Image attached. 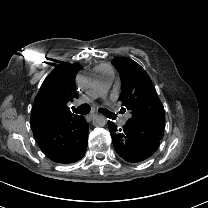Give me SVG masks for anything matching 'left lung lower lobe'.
Returning a JSON list of instances; mask_svg holds the SVG:
<instances>
[{"label": "left lung lower lobe", "mask_w": 208, "mask_h": 208, "mask_svg": "<svg viewBox=\"0 0 208 208\" xmlns=\"http://www.w3.org/2000/svg\"><path fill=\"white\" fill-rule=\"evenodd\" d=\"M108 126L115 151L127 162H142L151 157L159 147V140L139 132L128 121L121 129L111 121Z\"/></svg>", "instance_id": "obj_1"}]
</instances>
